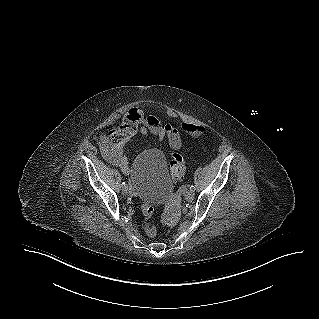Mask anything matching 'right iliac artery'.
<instances>
[{
    "label": "right iliac artery",
    "instance_id": "1",
    "mask_svg": "<svg viewBox=\"0 0 319 319\" xmlns=\"http://www.w3.org/2000/svg\"><path fill=\"white\" fill-rule=\"evenodd\" d=\"M125 185H126V183H125V182H122V187L125 186Z\"/></svg>",
    "mask_w": 319,
    "mask_h": 319
}]
</instances>
